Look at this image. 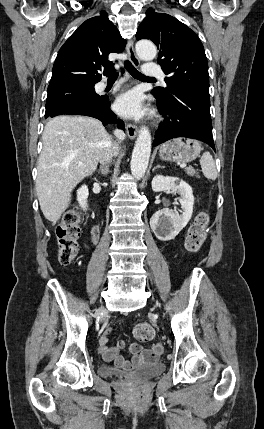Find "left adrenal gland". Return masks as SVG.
I'll list each match as a JSON object with an SVG mask.
<instances>
[{
  "label": "left adrenal gland",
  "instance_id": "obj_1",
  "mask_svg": "<svg viewBox=\"0 0 264 429\" xmlns=\"http://www.w3.org/2000/svg\"><path fill=\"white\" fill-rule=\"evenodd\" d=\"M157 168H164L163 166L157 165L153 168V171L156 170Z\"/></svg>",
  "mask_w": 264,
  "mask_h": 429
}]
</instances>
